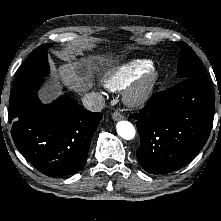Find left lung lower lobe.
Instances as JSON below:
<instances>
[{
  "instance_id": "obj_1",
  "label": "left lung lower lobe",
  "mask_w": 221,
  "mask_h": 221,
  "mask_svg": "<svg viewBox=\"0 0 221 221\" xmlns=\"http://www.w3.org/2000/svg\"><path fill=\"white\" fill-rule=\"evenodd\" d=\"M215 94L207 78L189 77L154 94L136 119L144 170L166 174L184 167L206 143L213 124Z\"/></svg>"
}]
</instances>
